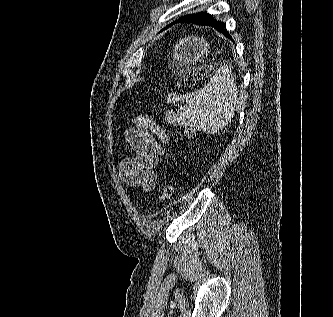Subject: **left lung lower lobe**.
<instances>
[{
  "instance_id": "1",
  "label": "left lung lower lobe",
  "mask_w": 333,
  "mask_h": 317,
  "mask_svg": "<svg viewBox=\"0 0 333 317\" xmlns=\"http://www.w3.org/2000/svg\"><path fill=\"white\" fill-rule=\"evenodd\" d=\"M178 22H187V23H192L196 25H203V26H210L214 27L217 31L222 33L224 36L228 37L229 39H232L226 30V25L225 23L216 20L213 15L208 14L207 12H200V13H195V14H190V15H185L179 20H176L172 24L178 23ZM171 24V25H172Z\"/></svg>"
}]
</instances>
